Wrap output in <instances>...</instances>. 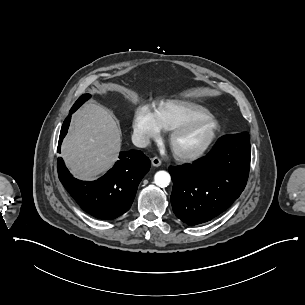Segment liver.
I'll return each instance as SVG.
<instances>
[{
    "instance_id": "1",
    "label": "liver",
    "mask_w": 305,
    "mask_h": 305,
    "mask_svg": "<svg viewBox=\"0 0 305 305\" xmlns=\"http://www.w3.org/2000/svg\"><path fill=\"white\" fill-rule=\"evenodd\" d=\"M133 98L139 99V94ZM120 137L121 131L105 107L87 104L74 117L62 157L76 177L90 179L117 160Z\"/></svg>"
}]
</instances>
